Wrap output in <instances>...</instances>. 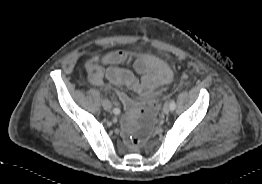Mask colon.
<instances>
[{"label": "colon", "instance_id": "5ec220e1", "mask_svg": "<svg viewBox=\"0 0 262 184\" xmlns=\"http://www.w3.org/2000/svg\"><path fill=\"white\" fill-rule=\"evenodd\" d=\"M117 95L126 108L125 139L132 146H141L147 140L152 128L154 103L140 107L123 91H118Z\"/></svg>", "mask_w": 262, "mask_h": 184}]
</instances>
